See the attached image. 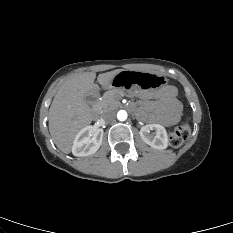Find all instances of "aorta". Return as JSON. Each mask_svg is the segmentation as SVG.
<instances>
[{"label": "aorta", "instance_id": "762f6f07", "mask_svg": "<svg viewBox=\"0 0 233 233\" xmlns=\"http://www.w3.org/2000/svg\"><path fill=\"white\" fill-rule=\"evenodd\" d=\"M117 119L119 121H125L127 119V112L125 110H120L117 113Z\"/></svg>", "mask_w": 233, "mask_h": 233}]
</instances>
